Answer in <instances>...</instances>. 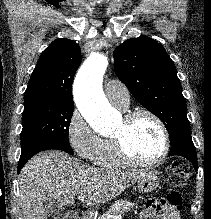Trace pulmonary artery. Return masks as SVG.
<instances>
[{
    "instance_id": "pulmonary-artery-1",
    "label": "pulmonary artery",
    "mask_w": 211,
    "mask_h": 219,
    "mask_svg": "<svg viewBox=\"0 0 211 219\" xmlns=\"http://www.w3.org/2000/svg\"><path fill=\"white\" fill-rule=\"evenodd\" d=\"M104 90L109 102L120 108L126 109L130 103V95L126 86L118 80H109Z\"/></svg>"
}]
</instances>
